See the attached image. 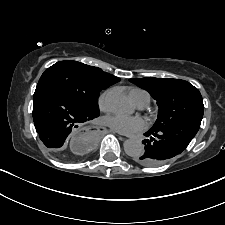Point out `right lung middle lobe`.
Instances as JSON below:
<instances>
[{
  "instance_id": "right-lung-middle-lobe-1",
  "label": "right lung middle lobe",
  "mask_w": 225,
  "mask_h": 225,
  "mask_svg": "<svg viewBox=\"0 0 225 225\" xmlns=\"http://www.w3.org/2000/svg\"><path fill=\"white\" fill-rule=\"evenodd\" d=\"M39 83H47L57 88L82 109L95 116L99 115V92L110 86L96 76L91 66L77 61L57 62L44 71Z\"/></svg>"
}]
</instances>
